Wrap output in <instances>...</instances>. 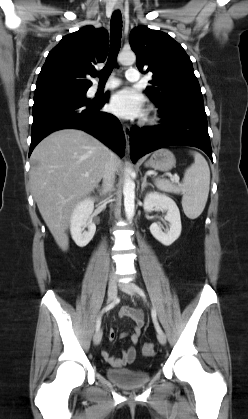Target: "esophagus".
Here are the masks:
<instances>
[{
	"instance_id": "obj_1",
	"label": "esophagus",
	"mask_w": 248,
	"mask_h": 419,
	"mask_svg": "<svg viewBox=\"0 0 248 419\" xmlns=\"http://www.w3.org/2000/svg\"><path fill=\"white\" fill-rule=\"evenodd\" d=\"M114 8H115V9H122V5H120V4H116V5L114 6ZM123 131H124V134H125L126 143H127V148H128V147H129V140H130V133H131V128H130V126H129V125H127V124H124V125H123Z\"/></svg>"
}]
</instances>
